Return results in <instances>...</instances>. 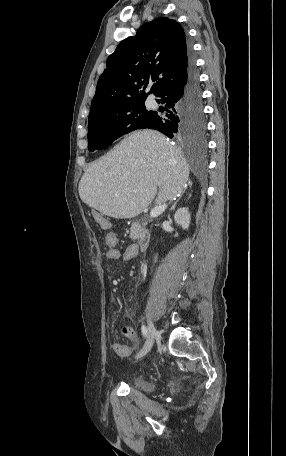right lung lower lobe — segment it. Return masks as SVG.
Masks as SVG:
<instances>
[{"mask_svg": "<svg viewBox=\"0 0 286 456\" xmlns=\"http://www.w3.org/2000/svg\"><path fill=\"white\" fill-rule=\"evenodd\" d=\"M157 97L161 98V101L157 100V102L165 103L166 112L163 116L155 111L147 128L159 130L170 138L203 135L205 121L201 89L192 56L185 77L167 87ZM192 124L202 125V132L188 133L187 128Z\"/></svg>", "mask_w": 286, "mask_h": 456, "instance_id": "98d812e1", "label": "right lung lower lobe"}]
</instances>
